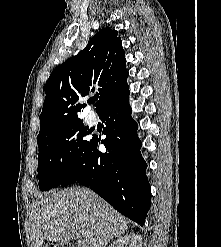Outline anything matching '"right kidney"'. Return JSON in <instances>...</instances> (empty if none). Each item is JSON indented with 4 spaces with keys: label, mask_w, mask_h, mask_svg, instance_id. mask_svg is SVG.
I'll use <instances>...</instances> for the list:
<instances>
[{
    "label": "right kidney",
    "mask_w": 221,
    "mask_h": 247,
    "mask_svg": "<svg viewBox=\"0 0 221 247\" xmlns=\"http://www.w3.org/2000/svg\"><path fill=\"white\" fill-rule=\"evenodd\" d=\"M110 247H142V238L138 234H128L115 240Z\"/></svg>",
    "instance_id": "obj_1"
}]
</instances>
